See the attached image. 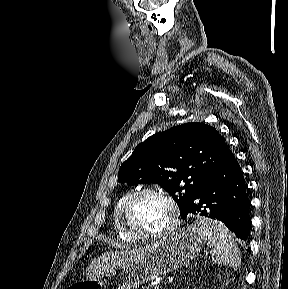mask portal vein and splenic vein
<instances>
[{
	"mask_svg": "<svg viewBox=\"0 0 288 289\" xmlns=\"http://www.w3.org/2000/svg\"><path fill=\"white\" fill-rule=\"evenodd\" d=\"M154 289H160V286H159V285H158V286H155Z\"/></svg>",
	"mask_w": 288,
	"mask_h": 289,
	"instance_id": "1",
	"label": "portal vein and splenic vein"
}]
</instances>
